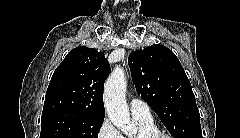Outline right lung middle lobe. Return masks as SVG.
Here are the masks:
<instances>
[{
	"mask_svg": "<svg viewBox=\"0 0 240 138\" xmlns=\"http://www.w3.org/2000/svg\"><path fill=\"white\" fill-rule=\"evenodd\" d=\"M103 118L74 113L42 116L40 138H98Z\"/></svg>",
	"mask_w": 240,
	"mask_h": 138,
	"instance_id": "obj_1",
	"label": "right lung middle lobe"
}]
</instances>
